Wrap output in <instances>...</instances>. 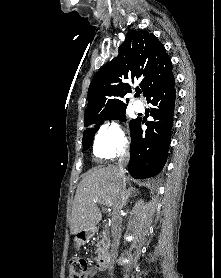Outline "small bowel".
<instances>
[{
    "label": "small bowel",
    "mask_w": 221,
    "mask_h": 278,
    "mask_svg": "<svg viewBox=\"0 0 221 278\" xmlns=\"http://www.w3.org/2000/svg\"><path fill=\"white\" fill-rule=\"evenodd\" d=\"M98 268L97 267H91L89 269V272H88V275H87V278H92L94 276H96V274L98 273Z\"/></svg>",
    "instance_id": "obj_1"
}]
</instances>
